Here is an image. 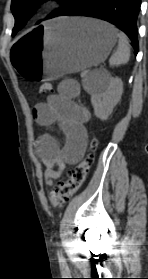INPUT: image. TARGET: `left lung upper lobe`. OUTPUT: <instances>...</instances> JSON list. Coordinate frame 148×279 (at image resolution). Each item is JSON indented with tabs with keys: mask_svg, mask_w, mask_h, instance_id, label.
Instances as JSON below:
<instances>
[{
	"mask_svg": "<svg viewBox=\"0 0 148 279\" xmlns=\"http://www.w3.org/2000/svg\"><path fill=\"white\" fill-rule=\"evenodd\" d=\"M47 0H12L11 10L15 17V27L13 28L12 35L14 36L25 24L27 19L35 12V7L40 3ZM63 4L67 9L76 0H57ZM65 10H58L48 15L47 18L58 16ZM39 23V22H38Z\"/></svg>",
	"mask_w": 148,
	"mask_h": 279,
	"instance_id": "1",
	"label": "left lung upper lobe"
}]
</instances>
